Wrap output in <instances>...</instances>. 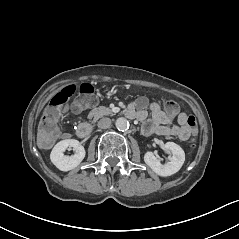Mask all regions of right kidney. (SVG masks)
Masks as SVG:
<instances>
[{"label":"right kidney","instance_id":"1","mask_svg":"<svg viewBox=\"0 0 239 239\" xmlns=\"http://www.w3.org/2000/svg\"><path fill=\"white\" fill-rule=\"evenodd\" d=\"M73 148L75 154L65 156L64 152ZM85 157V149L78 140L66 139L58 142L51 153L52 163L61 171H69L77 167Z\"/></svg>","mask_w":239,"mask_h":239}]
</instances>
